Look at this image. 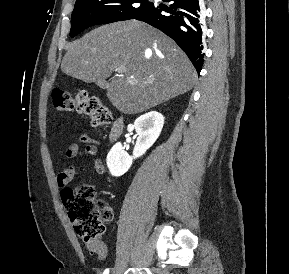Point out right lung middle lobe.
Wrapping results in <instances>:
<instances>
[{
	"instance_id": "right-lung-middle-lobe-1",
	"label": "right lung middle lobe",
	"mask_w": 289,
	"mask_h": 274,
	"mask_svg": "<svg viewBox=\"0 0 289 274\" xmlns=\"http://www.w3.org/2000/svg\"><path fill=\"white\" fill-rule=\"evenodd\" d=\"M152 4L149 0H76L70 36L93 25L134 19Z\"/></svg>"
}]
</instances>
